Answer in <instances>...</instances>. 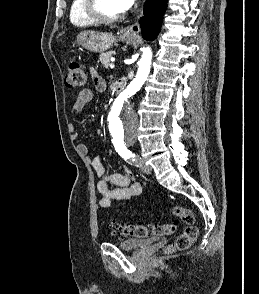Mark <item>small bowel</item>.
<instances>
[{"label": "small bowel", "mask_w": 259, "mask_h": 294, "mask_svg": "<svg viewBox=\"0 0 259 294\" xmlns=\"http://www.w3.org/2000/svg\"><path fill=\"white\" fill-rule=\"evenodd\" d=\"M91 75L95 89L99 92H104L106 90L105 80L95 70L91 71ZM92 99L93 91L91 89L80 90L73 103L72 113L74 115L79 114ZM70 133L73 138H76L77 134L73 126L70 127ZM77 150L90 160L94 172L99 177L97 190L100 193L99 205L101 207L108 208L114 201L128 200L141 193V185L132 181L133 175L128 168H125L123 173L114 172L108 174L100 156L92 157L86 144H78ZM110 184L114 187L110 188Z\"/></svg>", "instance_id": "obj_1"}]
</instances>
